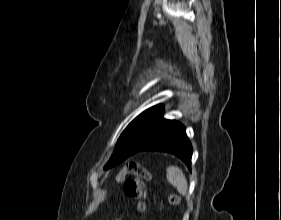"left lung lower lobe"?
I'll return each mask as SVG.
<instances>
[{"mask_svg":"<svg viewBox=\"0 0 281 220\" xmlns=\"http://www.w3.org/2000/svg\"><path fill=\"white\" fill-rule=\"evenodd\" d=\"M139 151L167 152L179 157L191 168L192 146L185 127L175 120L163 119L152 138Z\"/></svg>","mask_w":281,"mask_h":220,"instance_id":"0a47b994","label":"left lung lower lobe"}]
</instances>
